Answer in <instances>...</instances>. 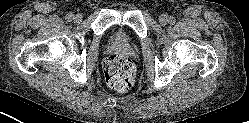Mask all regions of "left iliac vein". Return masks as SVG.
Listing matches in <instances>:
<instances>
[{"instance_id":"1","label":"left iliac vein","mask_w":249,"mask_h":123,"mask_svg":"<svg viewBox=\"0 0 249 123\" xmlns=\"http://www.w3.org/2000/svg\"><path fill=\"white\" fill-rule=\"evenodd\" d=\"M168 20H169V18H168V16L167 15H165V14H163V15H161L160 17H159V22H160V24L161 25H166L167 23H168Z\"/></svg>"}]
</instances>
